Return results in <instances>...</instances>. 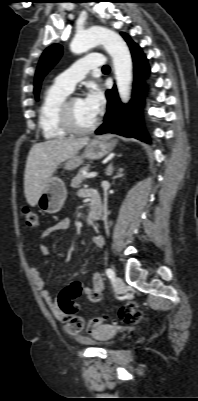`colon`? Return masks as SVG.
<instances>
[{"label": "colon", "instance_id": "colon-1", "mask_svg": "<svg viewBox=\"0 0 198 401\" xmlns=\"http://www.w3.org/2000/svg\"><path fill=\"white\" fill-rule=\"evenodd\" d=\"M23 215L25 219V224L28 227L35 228L38 227L39 225V216L36 211L30 209V208H24L23 209ZM76 287L77 284L76 282L71 283L69 286L64 288L60 295H59V306L63 312L69 315H74L77 314L78 308L77 306L73 303V299L75 296L76 292ZM119 319L122 323L124 324H133L138 322L141 319V312L137 308V305L135 302H129L125 305H123L119 309ZM98 324H104L108 321L106 317H98L93 320ZM90 321H86L84 318L78 317V324L80 327L85 326L88 324Z\"/></svg>", "mask_w": 198, "mask_h": 401}]
</instances>
